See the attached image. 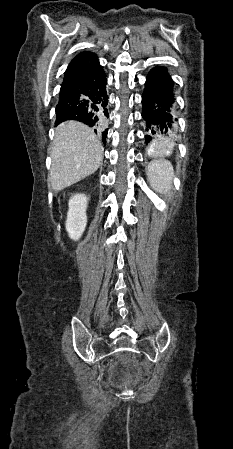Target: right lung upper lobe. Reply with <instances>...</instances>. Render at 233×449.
<instances>
[{
	"mask_svg": "<svg viewBox=\"0 0 233 449\" xmlns=\"http://www.w3.org/2000/svg\"><path fill=\"white\" fill-rule=\"evenodd\" d=\"M98 62L97 56L88 51L75 56L65 71L63 83L73 81L88 72Z\"/></svg>",
	"mask_w": 233,
	"mask_h": 449,
	"instance_id": "obj_1",
	"label": "right lung upper lobe"
}]
</instances>
